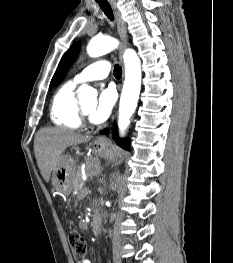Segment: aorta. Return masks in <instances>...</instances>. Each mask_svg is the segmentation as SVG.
Instances as JSON below:
<instances>
[{
    "label": "aorta",
    "instance_id": "aorta-1",
    "mask_svg": "<svg viewBox=\"0 0 233 263\" xmlns=\"http://www.w3.org/2000/svg\"><path fill=\"white\" fill-rule=\"evenodd\" d=\"M119 42L112 37H93L88 46L87 53L91 57H99L117 48ZM125 64V81L122 89L119 105L118 126L121 134H124L130 124L140 94L141 87V62L137 53L127 49L123 55ZM79 101L84 103L95 98L97 92L92 87L83 84L78 89Z\"/></svg>",
    "mask_w": 233,
    "mask_h": 263
}]
</instances>
